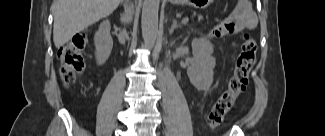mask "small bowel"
<instances>
[{
	"instance_id": "obj_1",
	"label": "small bowel",
	"mask_w": 325,
	"mask_h": 136,
	"mask_svg": "<svg viewBox=\"0 0 325 136\" xmlns=\"http://www.w3.org/2000/svg\"><path fill=\"white\" fill-rule=\"evenodd\" d=\"M246 25L249 26L250 24L246 23ZM234 31L235 28L232 24L228 22H223L217 25L216 27H214V29L212 30V35L214 37H223L225 35H229L233 33Z\"/></svg>"
}]
</instances>
